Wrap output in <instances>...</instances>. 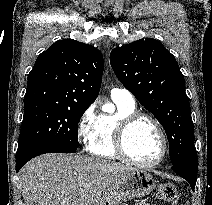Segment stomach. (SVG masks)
Here are the masks:
<instances>
[{
	"mask_svg": "<svg viewBox=\"0 0 212 205\" xmlns=\"http://www.w3.org/2000/svg\"><path fill=\"white\" fill-rule=\"evenodd\" d=\"M156 187L153 176L134 169L118 178L95 205H120L122 202L149 195Z\"/></svg>",
	"mask_w": 212,
	"mask_h": 205,
	"instance_id": "obj_1",
	"label": "stomach"
}]
</instances>
